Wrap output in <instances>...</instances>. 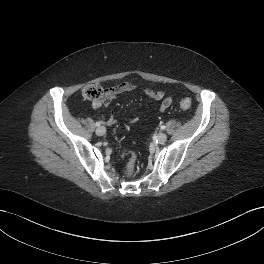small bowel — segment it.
Listing matches in <instances>:
<instances>
[{
	"mask_svg": "<svg viewBox=\"0 0 264 264\" xmlns=\"http://www.w3.org/2000/svg\"><path fill=\"white\" fill-rule=\"evenodd\" d=\"M137 89H139V85L132 81L123 82L113 87L107 88L105 89L104 96L99 100L93 101L91 104V107L92 109L97 110L101 108L102 106H108L119 95L126 93V92H131ZM142 91L148 97L154 100H157V101H161L160 106H159L160 112H164L172 104V98L169 96H165V93L162 90L144 88L142 89ZM134 121L135 119L133 120V122ZM115 123H116V117L114 113H111L107 119V124L114 125Z\"/></svg>",
	"mask_w": 264,
	"mask_h": 264,
	"instance_id": "small-bowel-1",
	"label": "small bowel"
}]
</instances>
